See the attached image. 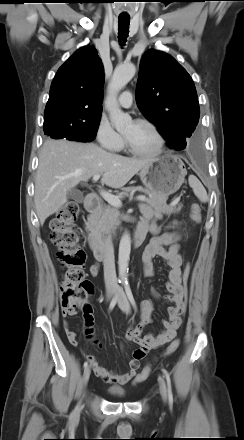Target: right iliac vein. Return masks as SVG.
Segmentation results:
<instances>
[{"instance_id": "63e3f726", "label": "right iliac vein", "mask_w": 244, "mask_h": 440, "mask_svg": "<svg viewBox=\"0 0 244 440\" xmlns=\"http://www.w3.org/2000/svg\"><path fill=\"white\" fill-rule=\"evenodd\" d=\"M112 295H113V289L109 288L107 290V299H111ZM90 373H91V369L88 366V367L85 368L84 373H83V379H82V388L83 389H85V387L87 386V383H88V380H89V377H90ZM79 407H80V403L78 405V408Z\"/></svg>"}]
</instances>
